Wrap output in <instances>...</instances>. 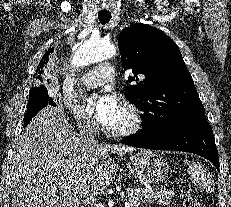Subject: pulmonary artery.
<instances>
[{
	"label": "pulmonary artery",
	"mask_w": 231,
	"mask_h": 207,
	"mask_svg": "<svg viewBox=\"0 0 231 207\" xmlns=\"http://www.w3.org/2000/svg\"><path fill=\"white\" fill-rule=\"evenodd\" d=\"M116 77L114 67L109 63H100L83 76V83L89 87H98L106 82L113 81Z\"/></svg>",
	"instance_id": "1"
}]
</instances>
